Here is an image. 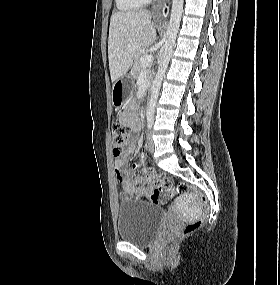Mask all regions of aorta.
Listing matches in <instances>:
<instances>
[{"label": "aorta", "mask_w": 280, "mask_h": 285, "mask_svg": "<svg viewBox=\"0 0 280 285\" xmlns=\"http://www.w3.org/2000/svg\"><path fill=\"white\" fill-rule=\"evenodd\" d=\"M184 0H172L171 12L169 26L166 33V42L164 45V53L155 76V79L151 87L150 100L147 107V117H153L155 113V107L161 87L163 77L165 75L166 69L168 67L173 47L175 44L176 36L179 30V25L181 21V16L183 12Z\"/></svg>", "instance_id": "obj_1"}]
</instances>
